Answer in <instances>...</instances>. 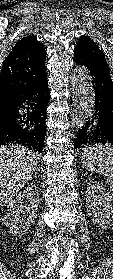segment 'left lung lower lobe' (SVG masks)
<instances>
[{
  "label": "left lung lower lobe",
  "mask_w": 113,
  "mask_h": 279,
  "mask_svg": "<svg viewBox=\"0 0 113 279\" xmlns=\"http://www.w3.org/2000/svg\"><path fill=\"white\" fill-rule=\"evenodd\" d=\"M75 63L90 71L95 90L93 113L74 141L75 148L87 144L113 145V81L111 76L95 65L75 57Z\"/></svg>",
  "instance_id": "obj_1"
}]
</instances>
